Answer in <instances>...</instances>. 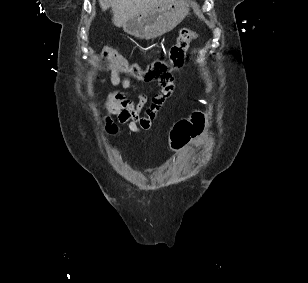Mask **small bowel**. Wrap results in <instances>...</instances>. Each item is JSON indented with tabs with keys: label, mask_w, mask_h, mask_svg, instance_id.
Returning a JSON list of instances; mask_svg holds the SVG:
<instances>
[{
	"label": "small bowel",
	"mask_w": 308,
	"mask_h": 283,
	"mask_svg": "<svg viewBox=\"0 0 308 283\" xmlns=\"http://www.w3.org/2000/svg\"><path fill=\"white\" fill-rule=\"evenodd\" d=\"M109 81L113 86L122 88L121 91L108 94L102 104L106 113L104 117L105 128L111 134L116 132V126L110 117L112 115L116 116L118 122L133 133L149 130L162 105L171 96L174 89L173 86L160 84V89L153 95L147 106L148 93L137 88L130 79L122 77L117 68H111ZM105 82L104 78L100 80L102 87Z\"/></svg>",
	"instance_id": "obj_1"
}]
</instances>
